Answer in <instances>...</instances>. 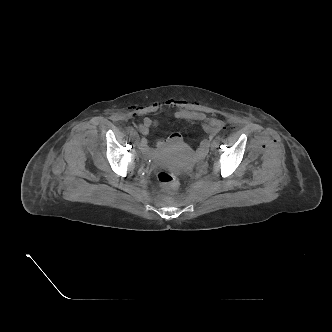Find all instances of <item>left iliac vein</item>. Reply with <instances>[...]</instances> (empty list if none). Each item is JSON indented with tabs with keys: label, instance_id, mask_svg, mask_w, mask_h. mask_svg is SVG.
<instances>
[{
	"label": "left iliac vein",
	"instance_id": "1",
	"mask_svg": "<svg viewBox=\"0 0 332 332\" xmlns=\"http://www.w3.org/2000/svg\"><path fill=\"white\" fill-rule=\"evenodd\" d=\"M217 146L218 145H217L216 141H214L213 144H212V150H214Z\"/></svg>",
	"mask_w": 332,
	"mask_h": 332
}]
</instances>
